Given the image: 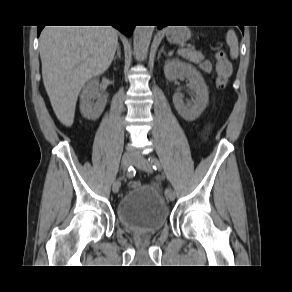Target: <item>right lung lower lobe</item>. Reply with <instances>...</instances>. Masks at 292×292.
Returning a JSON list of instances; mask_svg holds the SVG:
<instances>
[{
  "label": "right lung lower lobe",
  "instance_id": "right-lung-lower-lobe-1",
  "mask_svg": "<svg viewBox=\"0 0 292 292\" xmlns=\"http://www.w3.org/2000/svg\"><path fill=\"white\" fill-rule=\"evenodd\" d=\"M43 27L38 26V30H37L38 36L40 35V32L43 29ZM114 27L117 28L118 30H120L122 33H124L127 36H131L132 35V31H133V28H134L133 25H129V24H118V25H114Z\"/></svg>",
  "mask_w": 292,
  "mask_h": 292
}]
</instances>
